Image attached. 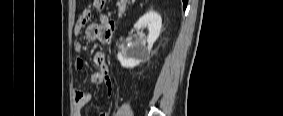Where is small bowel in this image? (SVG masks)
Masks as SVG:
<instances>
[{
    "instance_id": "1",
    "label": "small bowel",
    "mask_w": 283,
    "mask_h": 116,
    "mask_svg": "<svg viewBox=\"0 0 283 116\" xmlns=\"http://www.w3.org/2000/svg\"><path fill=\"white\" fill-rule=\"evenodd\" d=\"M105 0H96L94 5L96 8H99L100 5L104 4ZM90 17V12L85 11L78 19L75 26V33L78 34L82 28L86 25L88 19ZM115 28L114 22L106 15L99 14L98 23H93L87 26L86 28V36L88 39L92 41H98L102 43H107L110 41L112 32ZM83 48V44L81 42H77L75 49L76 51H81ZM93 63L96 70L91 74L90 80L95 84H105L107 89L108 96H111L113 93L114 82L109 76V69L105 62L104 54L100 51H97L93 57ZM77 70H82L85 66V61L83 58L78 57L75 63ZM74 115L81 116V110L89 103L91 100V94L89 92L76 89L74 91ZM108 113L106 111H102L99 113V116H107Z\"/></svg>"
}]
</instances>
